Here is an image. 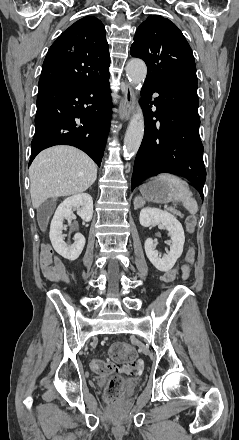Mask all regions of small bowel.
<instances>
[{
	"label": "small bowel",
	"instance_id": "1",
	"mask_svg": "<svg viewBox=\"0 0 239 440\" xmlns=\"http://www.w3.org/2000/svg\"><path fill=\"white\" fill-rule=\"evenodd\" d=\"M40 264L44 276L53 282H69L70 273L66 270L61 258L54 254L52 248L48 245L41 250ZM182 277L185 279L189 275V268L182 265Z\"/></svg>",
	"mask_w": 239,
	"mask_h": 440
}]
</instances>
